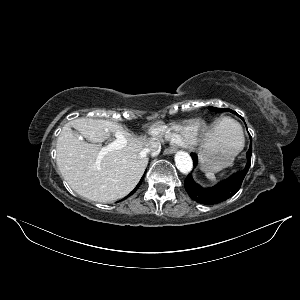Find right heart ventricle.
Wrapping results in <instances>:
<instances>
[{
    "label": "right heart ventricle",
    "mask_w": 300,
    "mask_h": 300,
    "mask_svg": "<svg viewBox=\"0 0 300 300\" xmlns=\"http://www.w3.org/2000/svg\"><path fill=\"white\" fill-rule=\"evenodd\" d=\"M161 131L176 145L190 147L197 143L204 126L197 122L162 127Z\"/></svg>",
    "instance_id": "1"
}]
</instances>
